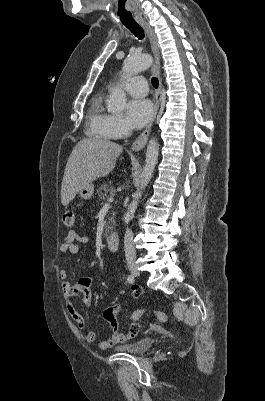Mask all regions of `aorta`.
I'll list each match as a JSON object with an SVG mask.
<instances>
[{
    "label": "aorta",
    "mask_w": 265,
    "mask_h": 401,
    "mask_svg": "<svg viewBox=\"0 0 265 401\" xmlns=\"http://www.w3.org/2000/svg\"><path fill=\"white\" fill-rule=\"evenodd\" d=\"M152 56L150 54H140V60H134L132 56L130 58H126L123 62V72L127 74V72H139L142 68H147L149 64H152ZM125 104H127V98L124 90L122 88H114L111 94H109V98L107 100V108L111 110V112H120L125 108ZM159 156V144L156 138H151L149 140V144L146 150V158H145V166L143 168V174L141 176V188H145L147 186L149 180L152 178V172H154V168L157 164ZM141 196V190H137L134 194L133 201H131L124 217L123 221L128 225L131 219H133L135 215V211L137 209V205L139 203V198Z\"/></svg>",
    "instance_id": "aorta-1"
}]
</instances>
